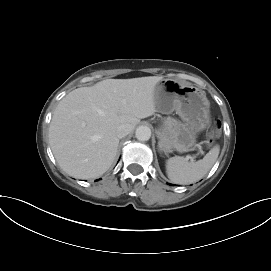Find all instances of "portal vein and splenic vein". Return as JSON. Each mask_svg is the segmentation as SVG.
Wrapping results in <instances>:
<instances>
[{"label": "portal vein and splenic vein", "instance_id": "18ae733b", "mask_svg": "<svg viewBox=\"0 0 271 271\" xmlns=\"http://www.w3.org/2000/svg\"><path fill=\"white\" fill-rule=\"evenodd\" d=\"M201 153H203V151H201ZM186 160L194 161L193 157H191L190 155H187V156H186Z\"/></svg>", "mask_w": 271, "mask_h": 271}]
</instances>
